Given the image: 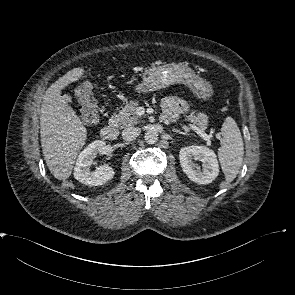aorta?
Segmentation results:
<instances>
[{
	"label": "aorta",
	"instance_id": "762f6f07",
	"mask_svg": "<svg viewBox=\"0 0 295 295\" xmlns=\"http://www.w3.org/2000/svg\"><path fill=\"white\" fill-rule=\"evenodd\" d=\"M144 137L148 144H154L158 141V132L156 130L150 129L146 131Z\"/></svg>",
	"mask_w": 295,
	"mask_h": 295
}]
</instances>
